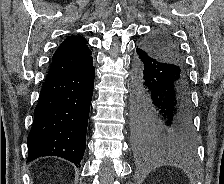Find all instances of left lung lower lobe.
Returning a JSON list of instances; mask_svg holds the SVG:
<instances>
[{
	"mask_svg": "<svg viewBox=\"0 0 224 184\" xmlns=\"http://www.w3.org/2000/svg\"><path fill=\"white\" fill-rule=\"evenodd\" d=\"M132 73L133 141L139 152L191 153L189 87L183 68L136 49Z\"/></svg>",
	"mask_w": 224,
	"mask_h": 184,
	"instance_id": "obj_1",
	"label": "left lung lower lobe"
}]
</instances>
